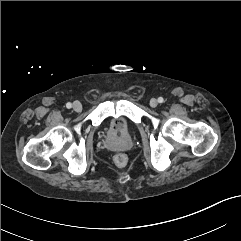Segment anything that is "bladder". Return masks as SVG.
Instances as JSON below:
<instances>
[{"label":"bladder","mask_w":241,"mask_h":241,"mask_svg":"<svg viewBox=\"0 0 241 241\" xmlns=\"http://www.w3.org/2000/svg\"><path fill=\"white\" fill-rule=\"evenodd\" d=\"M110 129L118 133H124L126 131V123L120 119H112L110 121Z\"/></svg>","instance_id":"bladder-1"}]
</instances>
